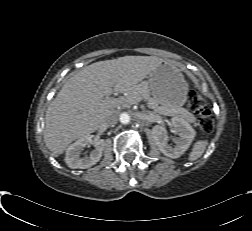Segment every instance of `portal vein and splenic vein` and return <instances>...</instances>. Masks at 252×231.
Returning a JSON list of instances; mask_svg holds the SVG:
<instances>
[{
    "mask_svg": "<svg viewBox=\"0 0 252 231\" xmlns=\"http://www.w3.org/2000/svg\"><path fill=\"white\" fill-rule=\"evenodd\" d=\"M123 100V98H120V99H111L109 97H106L103 102H106V103H116V102H119L121 103Z\"/></svg>",
    "mask_w": 252,
    "mask_h": 231,
    "instance_id": "portal-vein-and-splenic-vein-1",
    "label": "portal vein and splenic vein"
}]
</instances>
